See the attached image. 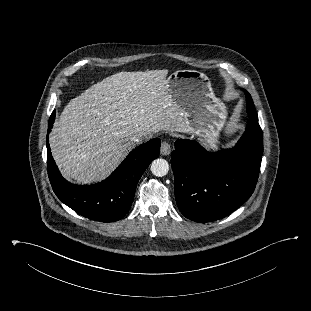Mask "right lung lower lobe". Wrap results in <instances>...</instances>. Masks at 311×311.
Returning <instances> with one entry per match:
<instances>
[{
	"mask_svg": "<svg viewBox=\"0 0 311 311\" xmlns=\"http://www.w3.org/2000/svg\"><path fill=\"white\" fill-rule=\"evenodd\" d=\"M52 112L47 133V170L57 197L76 213L101 222L118 221L129 211L139 179L149 164L158 157L160 139L150 140L134 149L104 181L94 185H75L60 174L51 155L48 135L53 127Z\"/></svg>",
	"mask_w": 311,
	"mask_h": 311,
	"instance_id": "right-lung-lower-lobe-1",
	"label": "right lung lower lobe"
}]
</instances>
